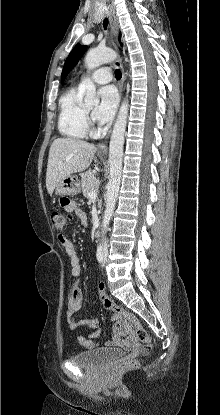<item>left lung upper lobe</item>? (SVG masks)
Returning <instances> with one entry per match:
<instances>
[{"mask_svg": "<svg viewBox=\"0 0 220 415\" xmlns=\"http://www.w3.org/2000/svg\"><path fill=\"white\" fill-rule=\"evenodd\" d=\"M86 50V46L77 44L73 50L70 52L68 58L65 61L61 78L65 79L69 71L78 63L79 59L82 57Z\"/></svg>", "mask_w": 220, "mask_h": 415, "instance_id": "left-lung-upper-lobe-1", "label": "left lung upper lobe"}]
</instances>
